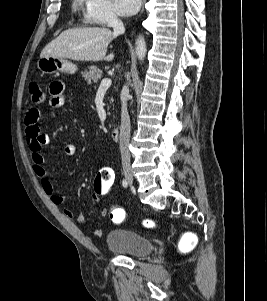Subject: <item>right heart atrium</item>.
<instances>
[{"mask_svg": "<svg viewBox=\"0 0 267 301\" xmlns=\"http://www.w3.org/2000/svg\"><path fill=\"white\" fill-rule=\"evenodd\" d=\"M84 19L88 24L110 26L118 20L111 0H84Z\"/></svg>", "mask_w": 267, "mask_h": 301, "instance_id": "obj_1", "label": "right heart atrium"}]
</instances>
